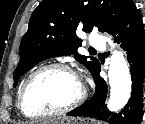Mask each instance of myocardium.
I'll list each match as a JSON object with an SVG mask.
<instances>
[{
	"instance_id": "1",
	"label": "myocardium",
	"mask_w": 145,
	"mask_h": 124,
	"mask_svg": "<svg viewBox=\"0 0 145 124\" xmlns=\"http://www.w3.org/2000/svg\"><path fill=\"white\" fill-rule=\"evenodd\" d=\"M52 69H59V70H63L66 71L70 74H72L73 76H75L78 81L81 84V92L79 94V96L72 101L70 104L66 105L63 108H60L58 110H54V111H50V112H44V113H37V114H31L28 113L26 111L25 108V96L26 93L28 91V88L30 87V85L32 84V82L43 72L48 71V70H52ZM87 96V90L85 85L83 84V82L80 80L79 76L77 75V73L67 64L65 63H61V62H54V63H49L46 65H43L41 67H39L38 69H36L34 72H32L28 78L26 79V81L23 83L20 92H19V98H18V106L19 109L21 111V113L29 119H42V118H49V117H55V116H60V115H64L72 110H74L75 108H77L80 104H82V102L85 100Z\"/></svg>"
}]
</instances>
